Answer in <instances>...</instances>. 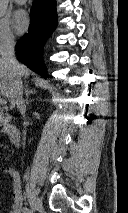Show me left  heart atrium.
<instances>
[{"label": "left heart atrium", "instance_id": "obj_1", "mask_svg": "<svg viewBox=\"0 0 128 213\" xmlns=\"http://www.w3.org/2000/svg\"><path fill=\"white\" fill-rule=\"evenodd\" d=\"M30 25V17L25 10H17L13 15V26L18 33H24Z\"/></svg>", "mask_w": 128, "mask_h": 213}]
</instances>
